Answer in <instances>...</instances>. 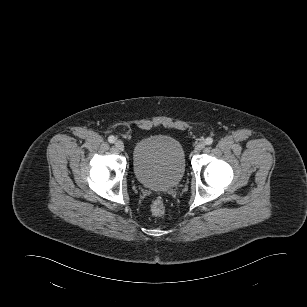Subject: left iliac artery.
<instances>
[{
	"label": "left iliac artery",
	"mask_w": 307,
	"mask_h": 307,
	"mask_svg": "<svg viewBox=\"0 0 307 307\" xmlns=\"http://www.w3.org/2000/svg\"><path fill=\"white\" fill-rule=\"evenodd\" d=\"M206 145H211L213 143V139L211 137L206 138L205 140Z\"/></svg>",
	"instance_id": "left-iliac-artery-1"
}]
</instances>
